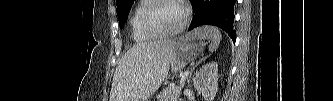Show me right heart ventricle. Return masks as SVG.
Segmentation results:
<instances>
[{
	"label": "right heart ventricle",
	"instance_id": "right-heart-ventricle-1",
	"mask_svg": "<svg viewBox=\"0 0 333 101\" xmlns=\"http://www.w3.org/2000/svg\"><path fill=\"white\" fill-rule=\"evenodd\" d=\"M150 1H140L136 7L133 9L130 20L129 26L131 31L132 39L138 43L148 42L152 40L154 37L149 35L147 32L144 31L142 24H141V16L144 9Z\"/></svg>",
	"mask_w": 333,
	"mask_h": 101
}]
</instances>
